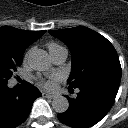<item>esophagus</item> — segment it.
<instances>
[{
    "mask_svg": "<svg viewBox=\"0 0 128 128\" xmlns=\"http://www.w3.org/2000/svg\"><path fill=\"white\" fill-rule=\"evenodd\" d=\"M42 96H43L44 98H50V99H52V98H54L56 95L53 94V93H49V92H42Z\"/></svg>",
    "mask_w": 128,
    "mask_h": 128,
    "instance_id": "esophagus-1",
    "label": "esophagus"
}]
</instances>
